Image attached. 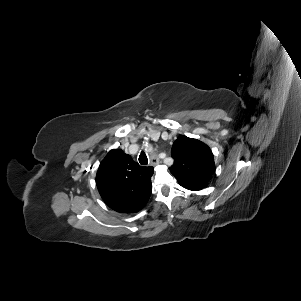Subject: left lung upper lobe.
Masks as SVG:
<instances>
[{"label":"left lung upper lobe","mask_w":301,"mask_h":301,"mask_svg":"<svg viewBox=\"0 0 301 301\" xmlns=\"http://www.w3.org/2000/svg\"><path fill=\"white\" fill-rule=\"evenodd\" d=\"M171 152L174 164L169 169L179 184L192 191L204 188L215 170L210 148L182 135L174 142Z\"/></svg>","instance_id":"left-lung-upper-lobe-1"}]
</instances>
